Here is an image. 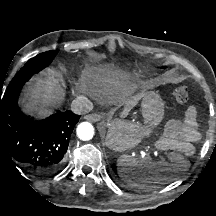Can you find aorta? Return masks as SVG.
<instances>
[{"instance_id": "1", "label": "aorta", "mask_w": 216, "mask_h": 216, "mask_svg": "<svg viewBox=\"0 0 216 216\" xmlns=\"http://www.w3.org/2000/svg\"><path fill=\"white\" fill-rule=\"evenodd\" d=\"M77 135L79 139L83 141H87L93 138L94 136V128L89 122H82L77 127Z\"/></svg>"}]
</instances>
